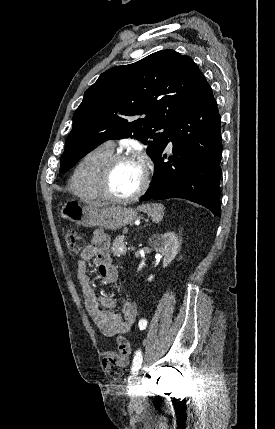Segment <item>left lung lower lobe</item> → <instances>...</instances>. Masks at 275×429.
I'll return each mask as SVG.
<instances>
[{
  "label": "left lung lower lobe",
  "instance_id": "left-lung-lower-lobe-1",
  "mask_svg": "<svg viewBox=\"0 0 275 429\" xmlns=\"http://www.w3.org/2000/svg\"><path fill=\"white\" fill-rule=\"evenodd\" d=\"M220 128L221 117L216 100L201 73L189 103L153 160V181L140 201L183 198L220 216ZM169 141L173 144V155L166 161L164 149Z\"/></svg>",
  "mask_w": 275,
  "mask_h": 429
}]
</instances>
